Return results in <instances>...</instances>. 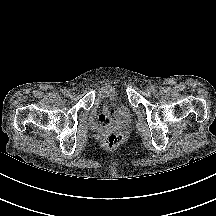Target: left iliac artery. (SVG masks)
<instances>
[{
	"label": "left iliac artery",
	"instance_id": "1",
	"mask_svg": "<svg viewBox=\"0 0 216 216\" xmlns=\"http://www.w3.org/2000/svg\"><path fill=\"white\" fill-rule=\"evenodd\" d=\"M155 90V87L154 86H152V91H154Z\"/></svg>",
	"mask_w": 216,
	"mask_h": 216
}]
</instances>
